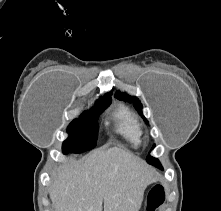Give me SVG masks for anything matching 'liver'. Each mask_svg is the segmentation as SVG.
I'll list each match as a JSON object with an SVG mask.
<instances>
[{
	"mask_svg": "<svg viewBox=\"0 0 221 211\" xmlns=\"http://www.w3.org/2000/svg\"><path fill=\"white\" fill-rule=\"evenodd\" d=\"M152 168L132 153L99 148L58 170L49 189L55 211H139Z\"/></svg>",
	"mask_w": 221,
	"mask_h": 211,
	"instance_id": "obj_1",
	"label": "liver"
}]
</instances>
